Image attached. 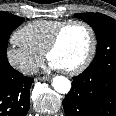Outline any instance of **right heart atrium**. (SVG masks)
<instances>
[{"label": "right heart atrium", "instance_id": "d8ad5b80", "mask_svg": "<svg viewBox=\"0 0 116 116\" xmlns=\"http://www.w3.org/2000/svg\"><path fill=\"white\" fill-rule=\"evenodd\" d=\"M7 63L23 75L34 74L42 63V54L32 51L18 40L16 34L5 50Z\"/></svg>", "mask_w": 116, "mask_h": 116}]
</instances>
